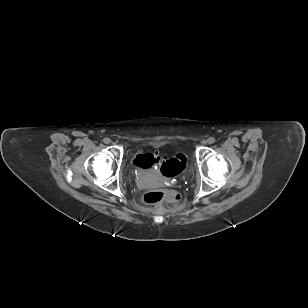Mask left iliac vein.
I'll list each match as a JSON object with an SVG mask.
<instances>
[{"label": "left iliac vein", "mask_w": 308, "mask_h": 308, "mask_svg": "<svg viewBox=\"0 0 308 308\" xmlns=\"http://www.w3.org/2000/svg\"><path fill=\"white\" fill-rule=\"evenodd\" d=\"M207 144V142H204V145H206Z\"/></svg>", "instance_id": "left-iliac-vein-1"}]
</instances>
